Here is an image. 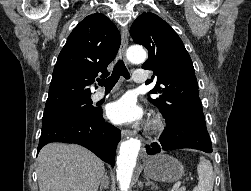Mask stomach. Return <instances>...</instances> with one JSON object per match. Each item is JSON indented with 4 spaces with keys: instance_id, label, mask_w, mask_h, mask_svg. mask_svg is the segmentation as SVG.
<instances>
[{
    "instance_id": "stomach-1",
    "label": "stomach",
    "mask_w": 251,
    "mask_h": 191,
    "mask_svg": "<svg viewBox=\"0 0 251 191\" xmlns=\"http://www.w3.org/2000/svg\"><path fill=\"white\" fill-rule=\"evenodd\" d=\"M144 173L146 177L156 181H177L184 173V165L172 155L158 153L145 163Z\"/></svg>"
}]
</instances>
